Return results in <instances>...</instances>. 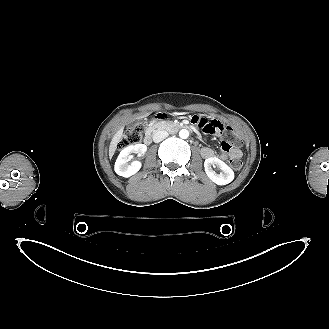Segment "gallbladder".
<instances>
[{
    "instance_id": "bac80fb5",
    "label": "gallbladder",
    "mask_w": 329,
    "mask_h": 329,
    "mask_svg": "<svg viewBox=\"0 0 329 329\" xmlns=\"http://www.w3.org/2000/svg\"><path fill=\"white\" fill-rule=\"evenodd\" d=\"M136 123H137V122H135V123H132V124H131V126L135 125Z\"/></svg>"
}]
</instances>
